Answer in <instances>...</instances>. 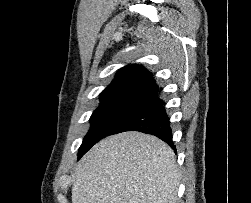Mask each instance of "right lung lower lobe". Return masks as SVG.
<instances>
[{
  "mask_svg": "<svg viewBox=\"0 0 251 203\" xmlns=\"http://www.w3.org/2000/svg\"><path fill=\"white\" fill-rule=\"evenodd\" d=\"M125 131H139L154 135L166 142L176 152L175 145L172 141L169 118L165 112L164 103L149 110L140 112L117 127L112 134Z\"/></svg>",
  "mask_w": 251,
  "mask_h": 203,
  "instance_id": "obj_1",
  "label": "right lung lower lobe"
}]
</instances>
